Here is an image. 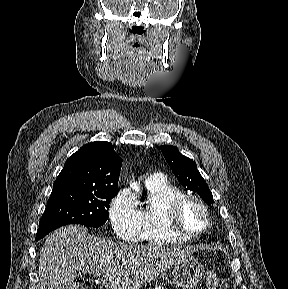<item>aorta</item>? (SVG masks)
Listing matches in <instances>:
<instances>
[{"instance_id": "aorta-1", "label": "aorta", "mask_w": 288, "mask_h": 289, "mask_svg": "<svg viewBox=\"0 0 288 289\" xmlns=\"http://www.w3.org/2000/svg\"><path fill=\"white\" fill-rule=\"evenodd\" d=\"M134 185V188L136 189V190H138V188L136 187V185L135 184H132V186Z\"/></svg>"}]
</instances>
